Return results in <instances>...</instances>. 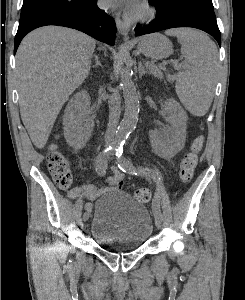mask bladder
I'll return each mask as SVG.
<instances>
[{"label":"bladder","instance_id":"31cf9c89","mask_svg":"<svg viewBox=\"0 0 245 300\" xmlns=\"http://www.w3.org/2000/svg\"><path fill=\"white\" fill-rule=\"evenodd\" d=\"M147 208L119 190L105 192L95 204L89 235L100 246L132 251L143 246L153 233Z\"/></svg>","mask_w":245,"mask_h":300}]
</instances>
